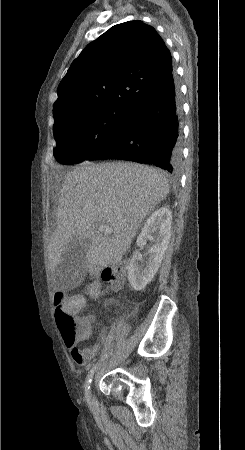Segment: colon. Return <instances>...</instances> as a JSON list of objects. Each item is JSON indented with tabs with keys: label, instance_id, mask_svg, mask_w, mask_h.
<instances>
[{
	"label": "colon",
	"instance_id": "1",
	"mask_svg": "<svg viewBox=\"0 0 245 450\" xmlns=\"http://www.w3.org/2000/svg\"><path fill=\"white\" fill-rule=\"evenodd\" d=\"M126 277V264L120 263L114 268L104 269L101 273V279L105 282H111L115 288H119V283ZM62 293L54 296L55 300H60ZM55 324L58 332L67 344L74 342L81 343L88 339L91 334V324L84 320L76 319L67 309L60 305L55 313Z\"/></svg>",
	"mask_w": 245,
	"mask_h": 450
}]
</instances>
